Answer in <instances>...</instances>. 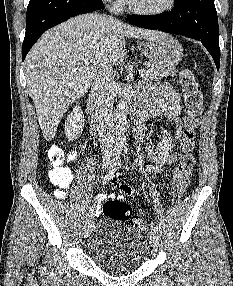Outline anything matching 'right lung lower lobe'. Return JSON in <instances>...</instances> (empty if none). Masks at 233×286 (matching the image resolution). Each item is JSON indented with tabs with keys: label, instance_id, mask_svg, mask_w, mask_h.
Instances as JSON below:
<instances>
[{
	"label": "right lung lower lobe",
	"instance_id": "right-lung-lower-lobe-1",
	"mask_svg": "<svg viewBox=\"0 0 233 286\" xmlns=\"http://www.w3.org/2000/svg\"><path fill=\"white\" fill-rule=\"evenodd\" d=\"M103 8L102 0H30L23 41V60L47 29L71 17Z\"/></svg>",
	"mask_w": 233,
	"mask_h": 286
}]
</instances>
